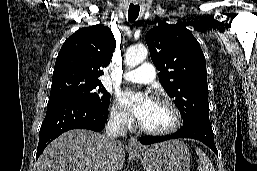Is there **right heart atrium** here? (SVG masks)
Instances as JSON below:
<instances>
[{"label": "right heart atrium", "mask_w": 257, "mask_h": 171, "mask_svg": "<svg viewBox=\"0 0 257 171\" xmlns=\"http://www.w3.org/2000/svg\"><path fill=\"white\" fill-rule=\"evenodd\" d=\"M111 121L121 128H127L131 124V118L119 104L115 103L110 109Z\"/></svg>", "instance_id": "right-heart-atrium-1"}]
</instances>
